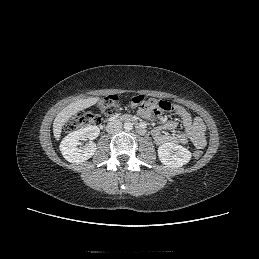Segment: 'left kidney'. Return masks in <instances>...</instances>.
<instances>
[{
	"mask_svg": "<svg viewBox=\"0 0 259 259\" xmlns=\"http://www.w3.org/2000/svg\"><path fill=\"white\" fill-rule=\"evenodd\" d=\"M191 152L175 143H164L158 148V157L162 164L171 168L182 167L191 160Z\"/></svg>",
	"mask_w": 259,
	"mask_h": 259,
	"instance_id": "left-kidney-1",
	"label": "left kidney"
}]
</instances>
